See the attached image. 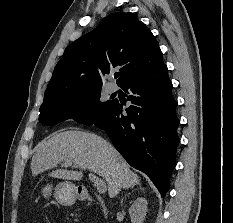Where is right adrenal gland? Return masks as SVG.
Returning a JSON list of instances; mask_svg holds the SVG:
<instances>
[{
  "label": "right adrenal gland",
  "mask_w": 233,
  "mask_h": 223,
  "mask_svg": "<svg viewBox=\"0 0 233 223\" xmlns=\"http://www.w3.org/2000/svg\"><path fill=\"white\" fill-rule=\"evenodd\" d=\"M139 189H142V187H139ZM126 195H129V193H126ZM124 197H125V195H124ZM124 197H122V199H121V201H120L121 207H122V205H123V199H124Z\"/></svg>",
  "instance_id": "right-adrenal-gland-1"
}]
</instances>
